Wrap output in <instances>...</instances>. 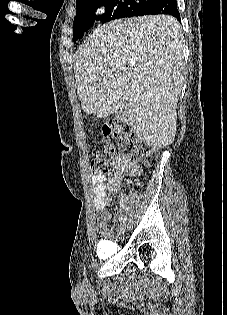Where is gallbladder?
<instances>
[{
  "label": "gallbladder",
  "instance_id": "1",
  "mask_svg": "<svg viewBox=\"0 0 227 315\" xmlns=\"http://www.w3.org/2000/svg\"><path fill=\"white\" fill-rule=\"evenodd\" d=\"M126 111L123 109L119 115H118V120L122 121V122H125L126 121Z\"/></svg>",
  "mask_w": 227,
  "mask_h": 315
}]
</instances>
